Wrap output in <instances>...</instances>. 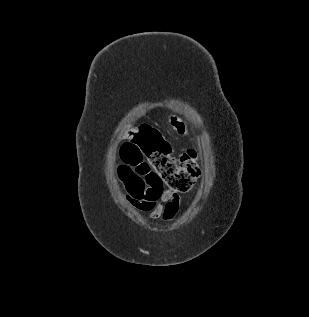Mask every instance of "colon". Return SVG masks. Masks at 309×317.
I'll return each mask as SVG.
<instances>
[{"label": "colon", "mask_w": 309, "mask_h": 317, "mask_svg": "<svg viewBox=\"0 0 309 317\" xmlns=\"http://www.w3.org/2000/svg\"><path fill=\"white\" fill-rule=\"evenodd\" d=\"M174 124L179 130L183 129L182 123L174 121ZM121 153L133 164L145 157L160 182L174 192L190 191L200 176L197 154L193 149H188L178 158L173 157L169 142L159 130L147 124L132 127L128 131Z\"/></svg>", "instance_id": "1"}]
</instances>
